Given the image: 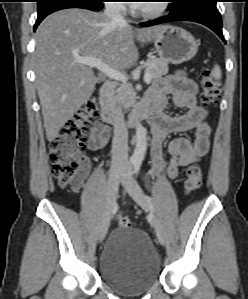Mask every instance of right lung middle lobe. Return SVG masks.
Masks as SVG:
<instances>
[{
  "mask_svg": "<svg viewBox=\"0 0 248 299\" xmlns=\"http://www.w3.org/2000/svg\"><path fill=\"white\" fill-rule=\"evenodd\" d=\"M46 1H48V0H38V5L41 4V3H44ZM92 1H102V0H92Z\"/></svg>",
  "mask_w": 248,
  "mask_h": 299,
  "instance_id": "right-lung-middle-lobe-1",
  "label": "right lung middle lobe"
}]
</instances>
